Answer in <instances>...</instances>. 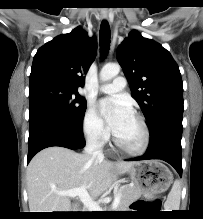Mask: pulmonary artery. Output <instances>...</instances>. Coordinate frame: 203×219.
I'll return each mask as SVG.
<instances>
[{
    "label": "pulmonary artery",
    "mask_w": 203,
    "mask_h": 219,
    "mask_svg": "<svg viewBox=\"0 0 203 219\" xmlns=\"http://www.w3.org/2000/svg\"><path fill=\"white\" fill-rule=\"evenodd\" d=\"M126 86V79L122 76L116 77L112 83L103 84L99 87V90L106 94H114L122 91Z\"/></svg>",
    "instance_id": "pulmonary-artery-1"
}]
</instances>
